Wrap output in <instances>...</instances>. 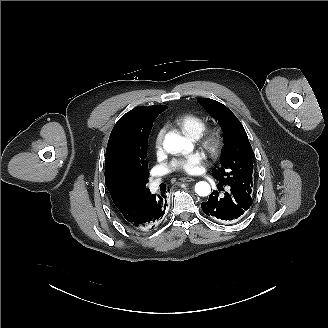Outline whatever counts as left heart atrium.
<instances>
[{
  "label": "left heart atrium",
  "instance_id": "39dd6f15",
  "mask_svg": "<svg viewBox=\"0 0 328 328\" xmlns=\"http://www.w3.org/2000/svg\"><path fill=\"white\" fill-rule=\"evenodd\" d=\"M172 168L190 175H197L204 171V160L199 154L187 155L184 159L174 162Z\"/></svg>",
  "mask_w": 328,
  "mask_h": 328
}]
</instances>
